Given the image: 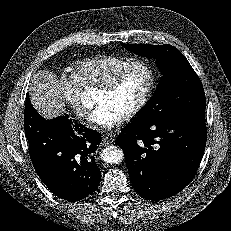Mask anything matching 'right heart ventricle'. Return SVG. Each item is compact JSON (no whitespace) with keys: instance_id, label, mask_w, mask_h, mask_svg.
Masks as SVG:
<instances>
[{"instance_id":"right-heart-ventricle-1","label":"right heart ventricle","mask_w":231,"mask_h":231,"mask_svg":"<svg viewBox=\"0 0 231 231\" xmlns=\"http://www.w3.org/2000/svg\"><path fill=\"white\" fill-rule=\"evenodd\" d=\"M131 62L123 56L99 55L77 62L72 69L81 86L99 87Z\"/></svg>"}]
</instances>
